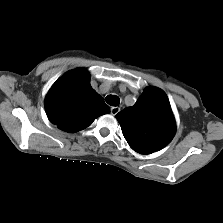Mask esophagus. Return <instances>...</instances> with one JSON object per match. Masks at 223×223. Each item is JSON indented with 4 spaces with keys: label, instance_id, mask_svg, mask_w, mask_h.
Returning <instances> with one entry per match:
<instances>
[{
    "label": "esophagus",
    "instance_id": "1",
    "mask_svg": "<svg viewBox=\"0 0 223 223\" xmlns=\"http://www.w3.org/2000/svg\"><path fill=\"white\" fill-rule=\"evenodd\" d=\"M110 111L112 115H116L120 112V107H111Z\"/></svg>",
    "mask_w": 223,
    "mask_h": 223
}]
</instances>
